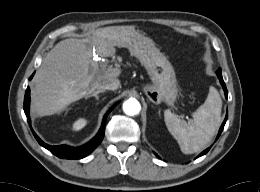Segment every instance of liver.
<instances>
[{"label": "liver", "instance_id": "6515ba94", "mask_svg": "<svg viewBox=\"0 0 260 192\" xmlns=\"http://www.w3.org/2000/svg\"><path fill=\"white\" fill-rule=\"evenodd\" d=\"M119 27L98 29L92 37L69 38L50 50L37 70L31 89L32 109L38 116L61 112L71 103L89 96L95 89L116 79L105 63L93 57L115 53L111 32Z\"/></svg>", "mask_w": 260, "mask_h": 192}]
</instances>
